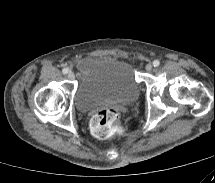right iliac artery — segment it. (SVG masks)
<instances>
[{
	"mask_svg": "<svg viewBox=\"0 0 215 183\" xmlns=\"http://www.w3.org/2000/svg\"><path fill=\"white\" fill-rule=\"evenodd\" d=\"M62 72H63V74H67V73L69 72V70H68V68H64V69L62 70Z\"/></svg>",
	"mask_w": 215,
	"mask_h": 183,
	"instance_id": "82829eb1",
	"label": "right iliac artery"
}]
</instances>
